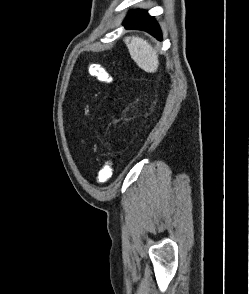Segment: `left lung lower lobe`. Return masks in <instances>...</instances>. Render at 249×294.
<instances>
[{
	"instance_id": "0a47b994",
	"label": "left lung lower lobe",
	"mask_w": 249,
	"mask_h": 294,
	"mask_svg": "<svg viewBox=\"0 0 249 294\" xmlns=\"http://www.w3.org/2000/svg\"><path fill=\"white\" fill-rule=\"evenodd\" d=\"M124 26L127 29H139L144 30L155 36L158 40H162L161 32L158 24L153 17L147 15L145 11H133L126 20Z\"/></svg>"
}]
</instances>
